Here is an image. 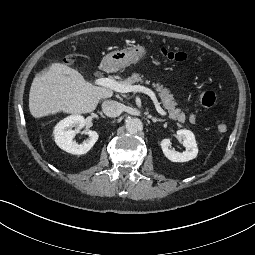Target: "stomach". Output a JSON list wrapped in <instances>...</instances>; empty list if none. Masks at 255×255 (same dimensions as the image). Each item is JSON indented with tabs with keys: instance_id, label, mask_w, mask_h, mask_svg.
I'll list each match as a JSON object with an SVG mask.
<instances>
[{
	"instance_id": "stomach-1",
	"label": "stomach",
	"mask_w": 255,
	"mask_h": 255,
	"mask_svg": "<svg viewBox=\"0 0 255 255\" xmlns=\"http://www.w3.org/2000/svg\"><path fill=\"white\" fill-rule=\"evenodd\" d=\"M147 54V50L142 45H133L121 50H116L108 53L103 58V64L112 71H117L136 63L140 59L144 58Z\"/></svg>"
}]
</instances>
